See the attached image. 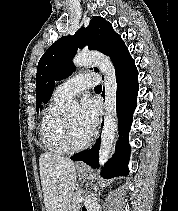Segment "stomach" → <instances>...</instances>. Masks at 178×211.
Instances as JSON below:
<instances>
[{"mask_svg": "<svg viewBox=\"0 0 178 211\" xmlns=\"http://www.w3.org/2000/svg\"><path fill=\"white\" fill-rule=\"evenodd\" d=\"M79 174L81 175L83 179L90 178L91 176L90 171L88 169L86 170L80 169Z\"/></svg>", "mask_w": 178, "mask_h": 211, "instance_id": "stomach-1", "label": "stomach"}]
</instances>
